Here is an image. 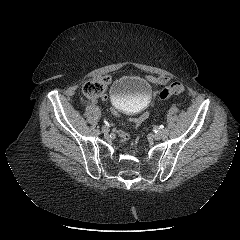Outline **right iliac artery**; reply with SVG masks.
<instances>
[{
	"label": "right iliac artery",
	"instance_id": "1",
	"mask_svg": "<svg viewBox=\"0 0 240 240\" xmlns=\"http://www.w3.org/2000/svg\"><path fill=\"white\" fill-rule=\"evenodd\" d=\"M94 133H95L96 135H99V134L101 133V130H100L99 128H96V129L94 130Z\"/></svg>",
	"mask_w": 240,
	"mask_h": 240
}]
</instances>
